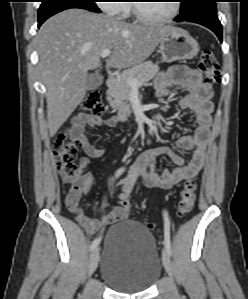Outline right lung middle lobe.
<instances>
[{"label": "right lung middle lobe", "mask_w": 248, "mask_h": 299, "mask_svg": "<svg viewBox=\"0 0 248 299\" xmlns=\"http://www.w3.org/2000/svg\"><path fill=\"white\" fill-rule=\"evenodd\" d=\"M69 8H82L96 13L101 12L96 6L95 0H42L38 11V19Z\"/></svg>", "instance_id": "obj_1"}]
</instances>
